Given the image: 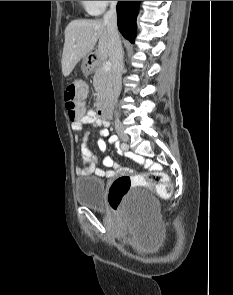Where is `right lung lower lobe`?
I'll use <instances>...</instances> for the list:
<instances>
[{
    "label": "right lung lower lobe",
    "mask_w": 233,
    "mask_h": 295,
    "mask_svg": "<svg viewBox=\"0 0 233 295\" xmlns=\"http://www.w3.org/2000/svg\"><path fill=\"white\" fill-rule=\"evenodd\" d=\"M140 1H118L117 19L118 29L131 43L136 35V16Z\"/></svg>",
    "instance_id": "obj_1"
}]
</instances>
